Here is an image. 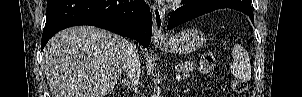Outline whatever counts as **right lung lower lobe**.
Instances as JSON below:
<instances>
[{"mask_svg":"<svg viewBox=\"0 0 302 97\" xmlns=\"http://www.w3.org/2000/svg\"><path fill=\"white\" fill-rule=\"evenodd\" d=\"M76 25L104 28L148 47L152 15L144 0H48L41 50L55 33Z\"/></svg>","mask_w":302,"mask_h":97,"instance_id":"1","label":"right lung lower lobe"}]
</instances>
